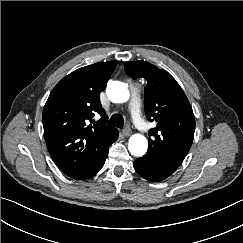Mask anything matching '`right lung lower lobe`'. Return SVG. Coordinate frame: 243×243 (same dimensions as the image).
<instances>
[{"mask_svg": "<svg viewBox=\"0 0 243 243\" xmlns=\"http://www.w3.org/2000/svg\"><path fill=\"white\" fill-rule=\"evenodd\" d=\"M117 138H118V135L114 137V139L111 141L110 144L115 142L117 140ZM107 156H108V147L106 148V151L101 156V158L87 171H84L82 173L75 174V175H70V174H66V173L65 174L73 179H78V180H84V179L90 178L93 175H95L103 167Z\"/></svg>", "mask_w": 243, "mask_h": 243, "instance_id": "obj_1", "label": "right lung lower lobe"}]
</instances>
